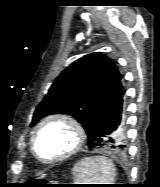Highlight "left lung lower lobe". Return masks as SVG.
<instances>
[{
	"mask_svg": "<svg viewBox=\"0 0 160 187\" xmlns=\"http://www.w3.org/2000/svg\"><path fill=\"white\" fill-rule=\"evenodd\" d=\"M123 96L124 90L122 89L101 110L93 128L87 133L89 148L109 151L124 149L123 139L114 140L112 138V134L123 127Z\"/></svg>",
	"mask_w": 160,
	"mask_h": 187,
	"instance_id": "1",
	"label": "left lung lower lobe"
}]
</instances>
